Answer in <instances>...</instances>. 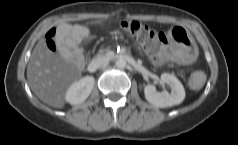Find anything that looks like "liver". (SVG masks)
I'll list each match as a JSON object with an SVG mask.
<instances>
[{
	"label": "liver",
	"instance_id": "liver-1",
	"mask_svg": "<svg viewBox=\"0 0 238 145\" xmlns=\"http://www.w3.org/2000/svg\"><path fill=\"white\" fill-rule=\"evenodd\" d=\"M87 31L85 27L63 23L57 27V52L51 51L44 39L35 46L27 66V80L34 94L47 105L63 108L66 89L80 78L84 60L71 52L65 42L69 36Z\"/></svg>",
	"mask_w": 238,
	"mask_h": 145
}]
</instances>
